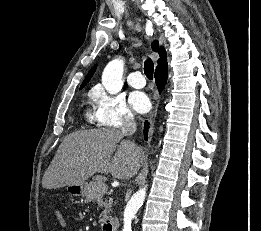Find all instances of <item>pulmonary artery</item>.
I'll list each match as a JSON object with an SVG mask.
<instances>
[{"label":"pulmonary artery","instance_id":"obj_1","mask_svg":"<svg viewBox=\"0 0 261 231\" xmlns=\"http://www.w3.org/2000/svg\"><path fill=\"white\" fill-rule=\"evenodd\" d=\"M128 84L133 88L140 89L146 85V80L140 71H134L128 76Z\"/></svg>","mask_w":261,"mask_h":231}]
</instances>
